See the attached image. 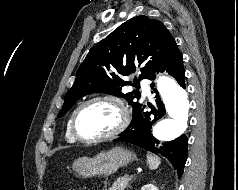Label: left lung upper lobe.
I'll list each match as a JSON object with an SVG mask.
<instances>
[{"label": "left lung upper lobe", "instance_id": "left-lung-upper-lobe-1", "mask_svg": "<svg viewBox=\"0 0 238 190\" xmlns=\"http://www.w3.org/2000/svg\"><path fill=\"white\" fill-rule=\"evenodd\" d=\"M178 50L174 37L162 22L144 15L129 19L88 53L65 95L58 118L77 100L91 93L123 97L134 110L140 104L137 101L140 93L138 90L122 93V87L131 83L123 81L121 76H128L141 67L139 80L135 78L132 84L136 86L141 79H149Z\"/></svg>", "mask_w": 238, "mask_h": 190}]
</instances>
